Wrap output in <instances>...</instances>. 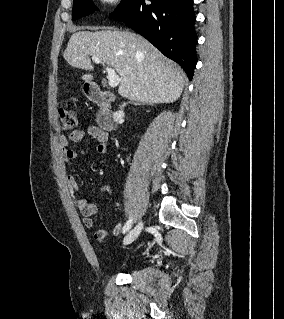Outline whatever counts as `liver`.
Segmentation results:
<instances>
[{"mask_svg": "<svg viewBox=\"0 0 284 319\" xmlns=\"http://www.w3.org/2000/svg\"><path fill=\"white\" fill-rule=\"evenodd\" d=\"M91 57H98L120 77L118 93L141 103H170L182 94L186 75L142 36L130 31H77L63 53L75 68L93 71ZM86 82L93 80L88 73Z\"/></svg>", "mask_w": 284, "mask_h": 319, "instance_id": "obj_1", "label": "liver"}]
</instances>
